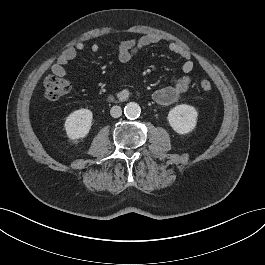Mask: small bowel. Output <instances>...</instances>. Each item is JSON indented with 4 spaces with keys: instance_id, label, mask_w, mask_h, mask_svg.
Returning <instances> with one entry per match:
<instances>
[{
    "instance_id": "1",
    "label": "small bowel",
    "mask_w": 265,
    "mask_h": 265,
    "mask_svg": "<svg viewBox=\"0 0 265 265\" xmlns=\"http://www.w3.org/2000/svg\"><path fill=\"white\" fill-rule=\"evenodd\" d=\"M161 37L155 34L145 35L139 38H130L122 41L118 46V58L121 62L130 61L140 50L143 48L157 44L161 42ZM86 45L84 42H77L73 46L66 48L59 56L58 60L53 64L51 71L54 75L59 77H66V66L70 61L76 58L79 52L84 51ZM100 50V44L93 42L91 45V51L98 53ZM167 50L175 55H178L184 59L181 66L183 76H181L173 86H166L157 89L153 93V100L160 105H171L179 101L183 94H185L192 83V71L194 69V63L191 58L190 51L182 45L171 42L167 46Z\"/></svg>"
}]
</instances>
